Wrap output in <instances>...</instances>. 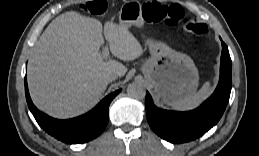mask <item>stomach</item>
<instances>
[{
    "mask_svg": "<svg viewBox=\"0 0 259 156\" xmlns=\"http://www.w3.org/2000/svg\"><path fill=\"white\" fill-rule=\"evenodd\" d=\"M134 6L133 3L124 4L119 18L121 26L142 24L141 14ZM147 44L151 57L144 63L142 72L154 92L168 105L192 96L199 84L193 60L164 43L148 40Z\"/></svg>",
    "mask_w": 259,
    "mask_h": 156,
    "instance_id": "0dacf381",
    "label": "stomach"
}]
</instances>
